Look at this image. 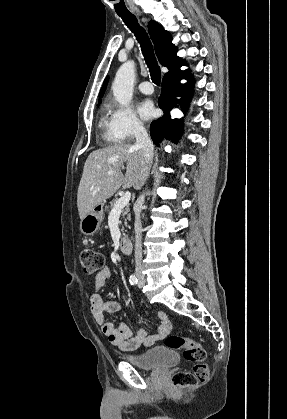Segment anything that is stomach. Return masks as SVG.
<instances>
[{"label":"stomach","mask_w":287,"mask_h":419,"mask_svg":"<svg viewBox=\"0 0 287 419\" xmlns=\"http://www.w3.org/2000/svg\"><path fill=\"white\" fill-rule=\"evenodd\" d=\"M103 211V205H98L81 220L80 230L83 234L92 236L99 230Z\"/></svg>","instance_id":"1"}]
</instances>
